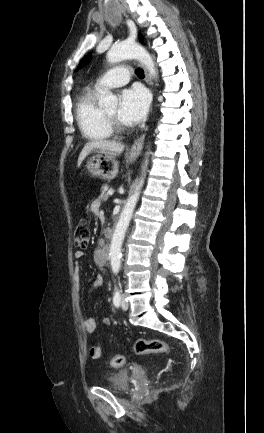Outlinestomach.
Here are the masks:
<instances>
[{"mask_svg": "<svg viewBox=\"0 0 264 433\" xmlns=\"http://www.w3.org/2000/svg\"><path fill=\"white\" fill-rule=\"evenodd\" d=\"M86 169L93 177L109 181L117 176L119 163L114 155L96 154L88 159Z\"/></svg>", "mask_w": 264, "mask_h": 433, "instance_id": "obj_1", "label": "stomach"}]
</instances>
